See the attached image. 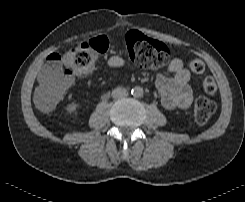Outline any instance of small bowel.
<instances>
[{
  "label": "small bowel",
  "mask_w": 245,
  "mask_h": 202,
  "mask_svg": "<svg viewBox=\"0 0 245 202\" xmlns=\"http://www.w3.org/2000/svg\"><path fill=\"white\" fill-rule=\"evenodd\" d=\"M107 64L111 68H119L125 64V59L119 55L111 56ZM167 71L172 73L168 75L166 72H161L156 77V87L160 92L161 104L164 108L172 110L175 108H187L192 101L193 92L189 85L191 74L184 67L183 60L174 58L167 67ZM40 79L37 87V93L41 86ZM73 85L71 79L70 88Z\"/></svg>",
  "instance_id": "small-bowel-1"
}]
</instances>
